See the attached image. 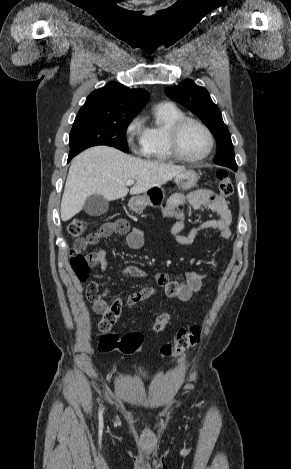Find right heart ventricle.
<instances>
[{"mask_svg":"<svg viewBox=\"0 0 291 469\" xmlns=\"http://www.w3.org/2000/svg\"><path fill=\"white\" fill-rule=\"evenodd\" d=\"M184 117V113L175 105L162 103L153 110V120L145 126V140L142 155L152 161L169 162L172 156L168 145V131L171 125Z\"/></svg>","mask_w":291,"mask_h":469,"instance_id":"e07e8e85","label":"right heart ventricle"}]
</instances>
